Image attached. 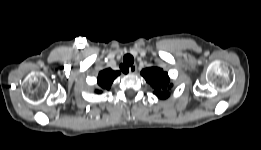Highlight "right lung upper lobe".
Here are the masks:
<instances>
[{
  "label": "right lung upper lobe",
  "mask_w": 261,
  "mask_h": 150,
  "mask_svg": "<svg viewBox=\"0 0 261 150\" xmlns=\"http://www.w3.org/2000/svg\"><path fill=\"white\" fill-rule=\"evenodd\" d=\"M120 74L119 71H113L110 68L105 69L99 73L98 76V85L103 88L109 90L111 87V84L113 83L114 79ZM97 93H100L101 91L97 90Z\"/></svg>",
  "instance_id": "cb5924a9"
}]
</instances>
